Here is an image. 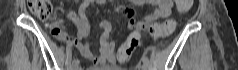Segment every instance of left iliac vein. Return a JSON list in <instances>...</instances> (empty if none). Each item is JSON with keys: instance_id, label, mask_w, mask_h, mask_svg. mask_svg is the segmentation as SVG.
I'll return each instance as SVG.
<instances>
[{"instance_id": "left-iliac-vein-1", "label": "left iliac vein", "mask_w": 238, "mask_h": 70, "mask_svg": "<svg viewBox=\"0 0 238 70\" xmlns=\"http://www.w3.org/2000/svg\"><path fill=\"white\" fill-rule=\"evenodd\" d=\"M141 70H147V64L143 63L141 66H140Z\"/></svg>"}]
</instances>
